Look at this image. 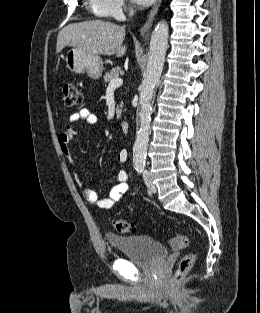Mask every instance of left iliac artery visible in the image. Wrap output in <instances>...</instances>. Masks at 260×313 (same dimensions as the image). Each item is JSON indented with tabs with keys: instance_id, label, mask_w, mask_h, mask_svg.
I'll use <instances>...</instances> for the list:
<instances>
[{
	"instance_id": "1",
	"label": "left iliac artery",
	"mask_w": 260,
	"mask_h": 313,
	"mask_svg": "<svg viewBox=\"0 0 260 313\" xmlns=\"http://www.w3.org/2000/svg\"><path fill=\"white\" fill-rule=\"evenodd\" d=\"M136 170H137L139 173H142V172L144 171V164L136 165Z\"/></svg>"
}]
</instances>
